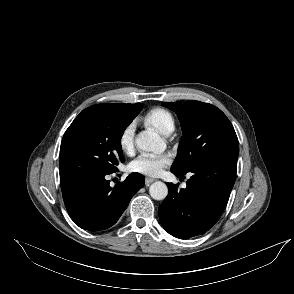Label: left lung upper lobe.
<instances>
[{"instance_id": "1", "label": "left lung upper lobe", "mask_w": 294, "mask_h": 294, "mask_svg": "<svg viewBox=\"0 0 294 294\" xmlns=\"http://www.w3.org/2000/svg\"><path fill=\"white\" fill-rule=\"evenodd\" d=\"M163 105L176 112L183 131L172 172L186 174L214 154L229 147H238L232 124L217 107L199 101L167 102Z\"/></svg>"}]
</instances>
